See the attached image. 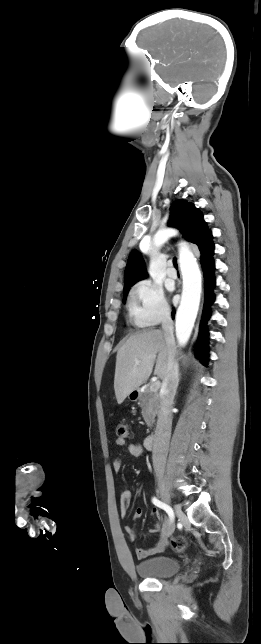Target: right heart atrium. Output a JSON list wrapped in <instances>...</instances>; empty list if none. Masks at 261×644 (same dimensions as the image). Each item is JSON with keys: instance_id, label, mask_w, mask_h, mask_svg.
I'll return each instance as SVG.
<instances>
[{"instance_id": "d8ad5b80", "label": "right heart atrium", "mask_w": 261, "mask_h": 644, "mask_svg": "<svg viewBox=\"0 0 261 644\" xmlns=\"http://www.w3.org/2000/svg\"><path fill=\"white\" fill-rule=\"evenodd\" d=\"M131 316L140 326H153L169 318L170 309L162 287L151 279L138 282L130 295Z\"/></svg>"}]
</instances>
